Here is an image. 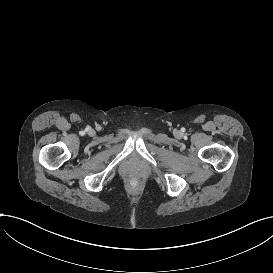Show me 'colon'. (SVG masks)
Instances as JSON below:
<instances>
[{
    "label": "colon",
    "instance_id": "5ec220e1",
    "mask_svg": "<svg viewBox=\"0 0 273 273\" xmlns=\"http://www.w3.org/2000/svg\"><path fill=\"white\" fill-rule=\"evenodd\" d=\"M142 184L139 180L132 178L127 183V189L132 194H137L140 192Z\"/></svg>",
    "mask_w": 273,
    "mask_h": 273
}]
</instances>
